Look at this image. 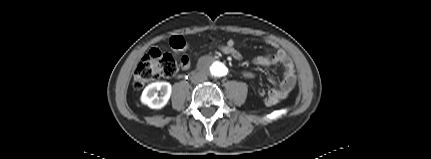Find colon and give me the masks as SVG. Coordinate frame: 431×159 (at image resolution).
I'll list each match as a JSON object with an SVG mask.
<instances>
[{
  "label": "colon",
  "instance_id": "1",
  "mask_svg": "<svg viewBox=\"0 0 431 159\" xmlns=\"http://www.w3.org/2000/svg\"><path fill=\"white\" fill-rule=\"evenodd\" d=\"M171 48L178 52L186 48V41L181 36L172 37L169 40ZM235 49L222 53L232 55ZM178 70V56L175 53L164 51L160 48L151 49L136 65L133 73V87L137 90L144 88L147 84L160 78H169ZM258 96L265 95V89L257 90Z\"/></svg>",
  "mask_w": 431,
  "mask_h": 159
}]
</instances>
